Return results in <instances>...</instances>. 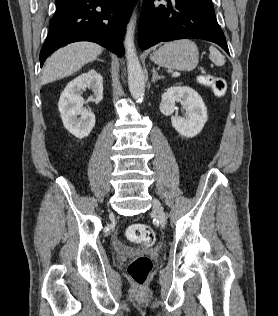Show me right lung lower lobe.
I'll return each mask as SVG.
<instances>
[{"instance_id":"right-lung-lower-lobe-1","label":"right lung lower lobe","mask_w":278,"mask_h":316,"mask_svg":"<svg viewBox=\"0 0 278 316\" xmlns=\"http://www.w3.org/2000/svg\"><path fill=\"white\" fill-rule=\"evenodd\" d=\"M134 0H56V12L40 52V63L58 48L76 41H92L118 56L124 54L122 33Z\"/></svg>"}]
</instances>
